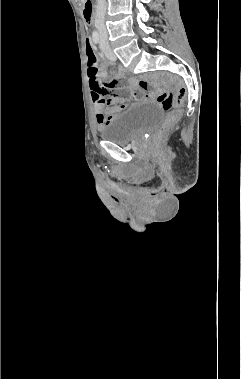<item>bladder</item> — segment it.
<instances>
[{
	"label": "bladder",
	"mask_w": 241,
	"mask_h": 379,
	"mask_svg": "<svg viewBox=\"0 0 241 379\" xmlns=\"http://www.w3.org/2000/svg\"><path fill=\"white\" fill-rule=\"evenodd\" d=\"M163 118L162 111L153 104L139 103L114 116L100 129L103 140L128 144L155 128Z\"/></svg>",
	"instance_id": "1"
}]
</instances>
